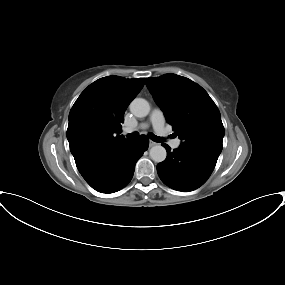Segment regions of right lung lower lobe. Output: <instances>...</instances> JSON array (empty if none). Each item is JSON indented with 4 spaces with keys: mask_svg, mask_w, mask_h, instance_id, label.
<instances>
[{
    "mask_svg": "<svg viewBox=\"0 0 285 285\" xmlns=\"http://www.w3.org/2000/svg\"><path fill=\"white\" fill-rule=\"evenodd\" d=\"M149 139L141 135L134 141H121L77 163L86 182L101 193H113L133 177L135 164L147 150Z\"/></svg>",
    "mask_w": 285,
    "mask_h": 285,
    "instance_id": "obj_1",
    "label": "right lung lower lobe"
}]
</instances>
